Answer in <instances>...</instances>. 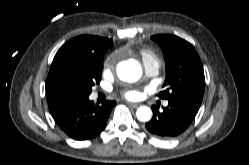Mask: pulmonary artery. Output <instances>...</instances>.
<instances>
[{
  "label": "pulmonary artery",
  "mask_w": 249,
  "mask_h": 165,
  "mask_svg": "<svg viewBox=\"0 0 249 165\" xmlns=\"http://www.w3.org/2000/svg\"><path fill=\"white\" fill-rule=\"evenodd\" d=\"M144 69L147 76H155L158 73L159 67L156 63L150 62L144 63ZM164 105H168V102H164Z\"/></svg>",
  "instance_id": "obj_1"
}]
</instances>
